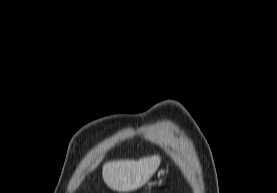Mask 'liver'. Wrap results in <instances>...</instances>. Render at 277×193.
Returning a JSON list of instances; mask_svg holds the SVG:
<instances>
[{
  "instance_id": "obj_1",
  "label": "liver",
  "mask_w": 277,
  "mask_h": 193,
  "mask_svg": "<svg viewBox=\"0 0 277 193\" xmlns=\"http://www.w3.org/2000/svg\"><path fill=\"white\" fill-rule=\"evenodd\" d=\"M161 162L159 155L139 160H117L103 165L102 176L106 185L118 192L141 188L157 171Z\"/></svg>"
}]
</instances>
